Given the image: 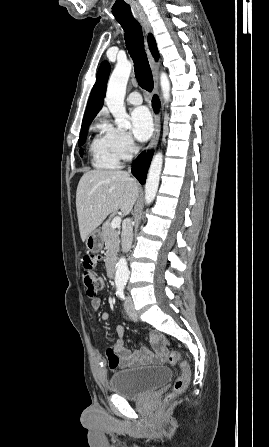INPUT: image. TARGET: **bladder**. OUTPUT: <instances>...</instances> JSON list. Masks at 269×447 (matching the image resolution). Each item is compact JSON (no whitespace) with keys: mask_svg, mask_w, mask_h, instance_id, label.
Masks as SVG:
<instances>
[{"mask_svg":"<svg viewBox=\"0 0 269 447\" xmlns=\"http://www.w3.org/2000/svg\"><path fill=\"white\" fill-rule=\"evenodd\" d=\"M172 380V371L165 366L140 367L113 372L109 386L122 398H138L152 393Z\"/></svg>","mask_w":269,"mask_h":447,"instance_id":"31cf9c89","label":"bladder"}]
</instances>
